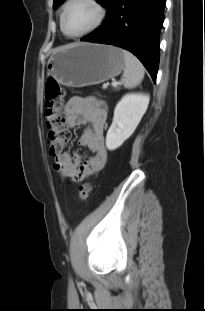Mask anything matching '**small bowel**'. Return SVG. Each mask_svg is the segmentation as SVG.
<instances>
[{"label": "small bowel", "instance_id": "small-bowel-1", "mask_svg": "<svg viewBox=\"0 0 205 311\" xmlns=\"http://www.w3.org/2000/svg\"><path fill=\"white\" fill-rule=\"evenodd\" d=\"M64 113L66 127H86L78 144L91 154L82 159L76 152H63L55 157L53 169L71 182H79L100 171L107 162L108 152L104 144L107 108L95 98L75 96L67 101Z\"/></svg>", "mask_w": 205, "mask_h": 311}]
</instances>
